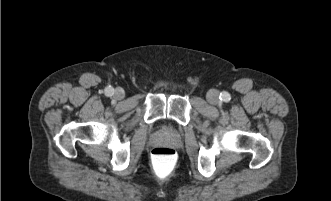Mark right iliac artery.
<instances>
[{
	"label": "right iliac artery",
	"instance_id": "82829eb1",
	"mask_svg": "<svg viewBox=\"0 0 331 201\" xmlns=\"http://www.w3.org/2000/svg\"><path fill=\"white\" fill-rule=\"evenodd\" d=\"M105 94H106L107 96H112V95L114 94V89H113L112 87H107V88L105 89Z\"/></svg>",
	"mask_w": 331,
	"mask_h": 201
}]
</instances>
